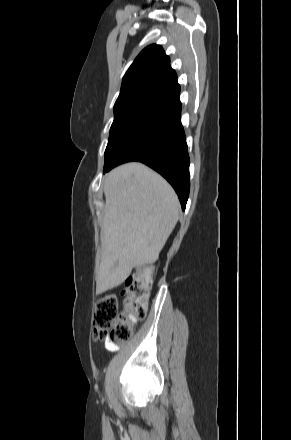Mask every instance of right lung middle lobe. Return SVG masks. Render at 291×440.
<instances>
[{
    "label": "right lung middle lobe",
    "instance_id": "right-lung-middle-lobe-1",
    "mask_svg": "<svg viewBox=\"0 0 291 440\" xmlns=\"http://www.w3.org/2000/svg\"><path fill=\"white\" fill-rule=\"evenodd\" d=\"M152 102V99L142 98L114 105V121L110 128L109 140L104 154V173L116 151L140 122Z\"/></svg>",
    "mask_w": 291,
    "mask_h": 440
}]
</instances>
